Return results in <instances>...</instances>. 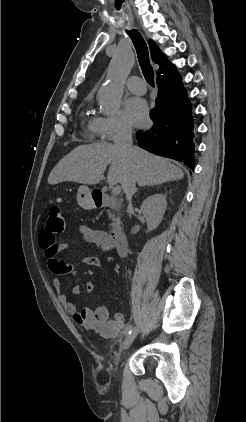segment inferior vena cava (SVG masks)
Wrapping results in <instances>:
<instances>
[{"label":"inferior vena cava","mask_w":246,"mask_h":422,"mask_svg":"<svg viewBox=\"0 0 246 422\" xmlns=\"http://www.w3.org/2000/svg\"><path fill=\"white\" fill-rule=\"evenodd\" d=\"M115 146L119 148L122 154L132 159L135 155L132 146V129L129 126H123L118 135L116 136ZM126 194V199L131 203L133 194L136 192V172L133 167L130 168L128 173L127 181L123 187Z\"/></svg>","instance_id":"inferior-vena-cava-1"}]
</instances>
